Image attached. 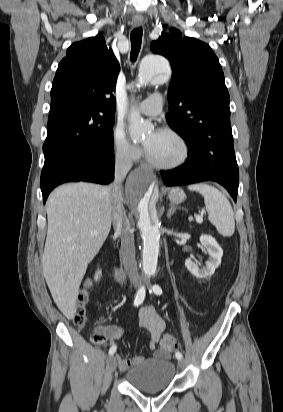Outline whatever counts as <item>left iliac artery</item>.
<instances>
[{"label":"left iliac artery","instance_id":"obj_1","mask_svg":"<svg viewBox=\"0 0 283 412\" xmlns=\"http://www.w3.org/2000/svg\"><path fill=\"white\" fill-rule=\"evenodd\" d=\"M150 291H151V290H150ZM152 291H153L156 295H161V294H162V289H161V287H160L159 285H157V284L153 285ZM175 356H176V358L179 359V360L183 358L182 353L179 352V351L175 353Z\"/></svg>","mask_w":283,"mask_h":412}]
</instances>
